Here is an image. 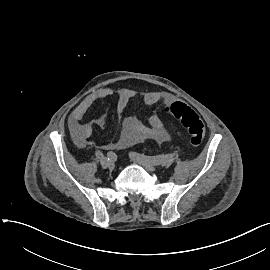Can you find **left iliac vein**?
Returning a JSON list of instances; mask_svg holds the SVG:
<instances>
[{
    "label": "left iliac vein",
    "instance_id": "1",
    "mask_svg": "<svg viewBox=\"0 0 270 270\" xmlns=\"http://www.w3.org/2000/svg\"><path fill=\"white\" fill-rule=\"evenodd\" d=\"M130 157H131V159H132L134 162H136V163L142 165V166L145 167L147 170H149V171H154V170H155L154 164L151 163L150 161L146 160L145 158L137 157V156H135L133 153L130 154Z\"/></svg>",
    "mask_w": 270,
    "mask_h": 270
}]
</instances>
